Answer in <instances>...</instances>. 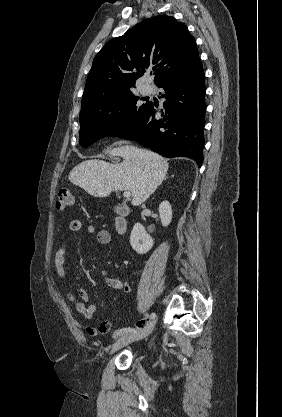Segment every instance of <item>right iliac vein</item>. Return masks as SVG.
<instances>
[{
  "label": "right iliac vein",
  "instance_id": "right-iliac-vein-1",
  "mask_svg": "<svg viewBox=\"0 0 282 417\" xmlns=\"http://www.w3.org/2000/svg\"><path fill=\"white\" fill-rule=\"evenodd\" d=\"M156 321H151L144 329L136 332V333H127L123 336H121L111 347L110 354H113L114 352L118 351L122 347L128 345L129 343H132L134 341L141 340L151 334V332L154 329Z\"/></svg>",
  "mask_w": 282,
  "mask_h": 417
}]
</instances>
